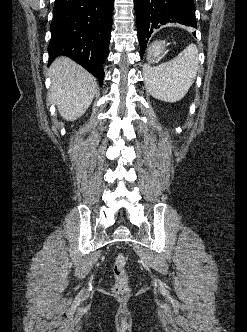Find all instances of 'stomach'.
Instances as JSON below:
<instances>
[{
	"mask_svg": "<svg viewBox=\"0 0 247 332\" xmlns=\"http://www.w3.org/2000/svg\"><path fill=\"white\" fill-rule=\"evenodd\" d=\"M164 55V45L161 42H154L148 50L147 59L151 63L157 62Z\"/></svg>",
	"mask_w": 247,
	"mask_h": 332,
	"instance_id": "obj_1",
	"label": "stomach"
}]
</instances>
